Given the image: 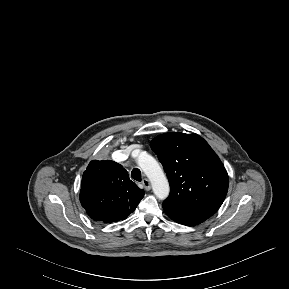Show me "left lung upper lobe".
Listing matches in <instances>:
<instances>
[{
    "label": "left lung upper lobe",
    "mask_w": 289,
    "mask_h": 289,
    "mask_svg": "<svg viewBox=\"0 0 289 289\" xmlns=\"http://www.w3.org/2000/svg\"><path fill=\"white\" fill-rule=\"evenodd\" d=\"M167 174L165 204L212 216L228 191V174L209 144L197 134L165 133L151 142Z\"/></svg>",
    "instance_id": "1"
}]
</instances>
